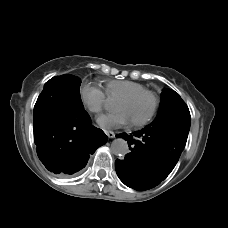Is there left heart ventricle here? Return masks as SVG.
<instances>
[{"instance_id": "b2bd125f", "label": "left heart ventricle", "mask_w": 228, "mask_h": 228, "mask_svg": "<svg viewBox=\"0 0 228 228\" xmlns=\"http://www.w3.org/2000/svg\"><path fill=\"white\" fill-rule=\"evenodd\" d=\"M151 105V100L148 97H144L136 101L132 106H131V111L134 116L140 117L144 115L149 107Z\"/></svg>"}]
</instances>
